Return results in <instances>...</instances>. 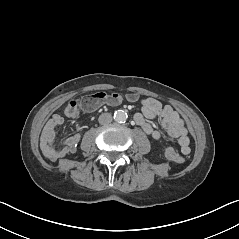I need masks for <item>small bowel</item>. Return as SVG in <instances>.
<instances>
[{"label":"small bowel","instance_id":"c3829d8e","mask_svg":"<svg viewBox=\"0 0 239 239\" xmlns=\"http://www.w3.org/2000/svg\"><path fill=\"white\" fill-rule=\"evenodd\" d=\"M141 105V112L135 115L134 120L143 131L155 140L161 139L163 133L155 129L150 121L159 117L161 127L166 130L168 136L177 139L181 153L188 155L190 152L189 133L180 114L171 106L163 105L154 98L141 100ZM96 108H84V110L93 111ZM64 114L69 117L66 113ZM63 122V116L55 114L45 124L41 133L40 146L42 152L51 161H56L67 154L74 153L80 141V135L73 134L63 138L59 143L55 142V131Z\"/></svg>","mask_w":239,"mask_h":239}]
</instances>
